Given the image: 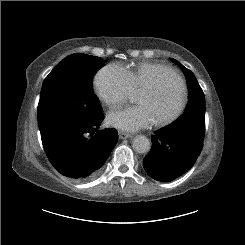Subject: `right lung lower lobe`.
Wrapping results in <instances>:
<instances>
[{
	"label": "right lung lower lobe",
	"mask_w": 245,
	"mask_h": 245,
	"mask_svg": "<svg viewBox=\"0 0 245 245\" xmlns=\"http://www.w3.org/2000/svg\"><path fill=\"white\" fill-rule=\"evenodd\" d=\"M103 113L80 126L61 127L42 138L47 157L61 174L79 181L96 177L118 141L115 130L99 131Z\"/></svg>",
	"instance_id": "right-lung-lower-lobe-1"
}]
</instances>
